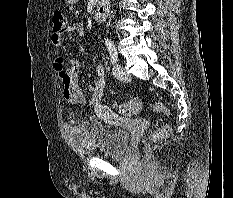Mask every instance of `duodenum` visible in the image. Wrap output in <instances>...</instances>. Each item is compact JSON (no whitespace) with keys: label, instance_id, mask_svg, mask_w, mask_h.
<instances>
[{"label":"duodenum","instance_id":"duodenum-1","mask_svg":"<svg viewBox=\"0 0 233 198\" xmlns=\"http://www.w3.org/2000/svg\"><path fill=\"white\" fill-rule=\"evenodd\" d=\"M110 8L109 0H101L96 11H95V21L102 22L106 19Z\"/></svg>","mask_w":233,"mask_h":198}]
</instances>
